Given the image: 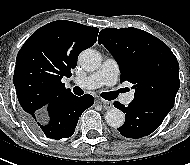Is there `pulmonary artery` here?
Instances as JSON below:
<instances>
[{"instance_id": "e3ab8cb5", "label": "pulmonary artery", "mask_w": 190, "mask_h": 165, "mask_svg": "<svg viewBox=\"0 0 190 165\" xmlns=\"http://www.w3.org/2000/svg\"><path fill=\"white\" fill-rule=\"evenodd\" d=\"M119 74L120 68L118 63L116 60L109 58L103 62L96 72L84 78H76L74 82L80 87L94 89L102 85H114L118 80ZM133 98V93H128L124 96L123 101L125 104H129Z\"/></svg>"}]
</instances>
